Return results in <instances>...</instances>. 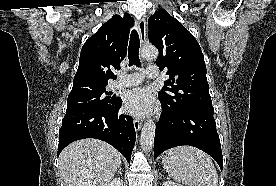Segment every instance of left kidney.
I'll return each mask as SVG.
<instances>
[{"instance_id":"obj_1","label":"left kidney","mask_w":276,"mask_h":186,"mask_svg":"<svg viewBox=\"0 0 276 186\" xmlns=\"http://www.w3.org/2000/svg\"><path fill=\"white\" fill-rule=\"evenodd\" d=\"M163 186H182V185L175 183L173 181H164Z\"/></svg>"}]
</instances>
